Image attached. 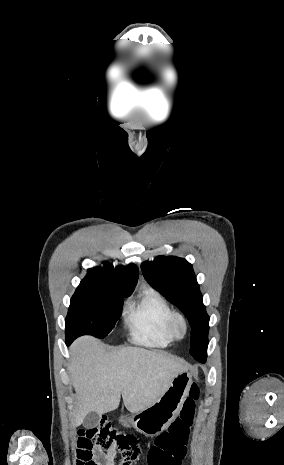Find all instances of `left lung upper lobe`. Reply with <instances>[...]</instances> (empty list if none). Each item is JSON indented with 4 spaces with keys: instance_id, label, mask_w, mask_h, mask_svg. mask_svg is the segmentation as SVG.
Wrapping results in <instances>:
<instances>
[{
    "instance_id": "1",
    "label": "left lung upper lobe",
    "mask_w": 284,
    "mask_h": 465,
    "mask_svg": "<svg viewBox=\"0 0 284 465\" xmlns=\"http://www.w3.org/2000/svg\"><path fill=\"white\" fill-rule=\"evenodd\" d=\"M148 283L176 305L191 326L190 354L199 362L207 357L209 316L192 265L183 258L158 256L141 266Z\"/></svg>"
}]
</instances>
